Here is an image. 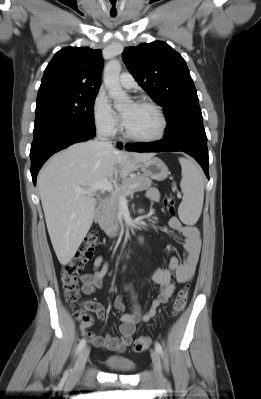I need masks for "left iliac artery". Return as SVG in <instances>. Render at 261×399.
Returning a JSON list of instances; mask_svg holds the SVG:
<instances>
[{
  "label": "left iliac artery",
  "instance_id": "left-iliac-artery-1",
  "mask_svg": "<svg viewBox=\"0 0 261 399\" xmlns=\"http://www.w3.org/2000/svg\"><path fill=\"white\" fill-rule=\"evenodd\" d=\"M155 349L157 350V352L162 355L163 354V349L162 346L159 342H155Z\"/></svg>",
  "mask_w": 261,
  "mask_h": 399
}]
</instances>
